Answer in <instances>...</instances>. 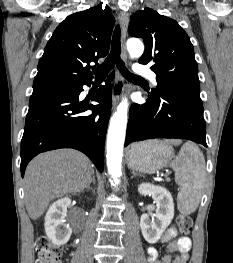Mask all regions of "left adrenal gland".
Here are the masks:
<instances>
[{"label": "left adrenal gland", "instance_id": "1", "mask_svg": "<svg viewBox=\"0 0 233 263\" xmlns=\"http://www.w3.org/2000/svg\"><path fill=\"white\" fill-rule=\"evenodd\" d=\"M136 176H142V175H141V174H138V173H136V172H134V171H132L131 179L134 178V177H136Z\"/></svg>", "mask_w": 233, "mask_h": 263}]
</instances>
